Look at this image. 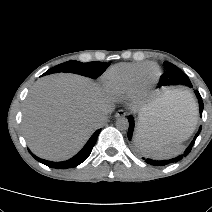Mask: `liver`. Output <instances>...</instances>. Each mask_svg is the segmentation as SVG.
Here are the masks:
<instances>
[{
  "label": "liver",
  "mask_w": 212,
  "mask_h": 212,
  "mask_svg": "<svg viewBox=\"0 0 212 212\" xmlns=\"http://www.w3.org/2000/svg\"><path fill=\"white\" fill-rule=\"evenodd\" d=\"M169 91L141 111L149 110L145 128L187 138L196 112L186 109ZM113 109V100L90 79L53 74L38 80L23 108L22 129L30 149L44 159L61 161L75 155L97 126L94 120Z\"/></svg>",
  "instance_id": "liver-1"
}]
</instances>
